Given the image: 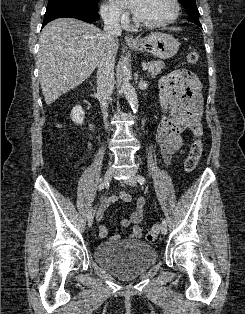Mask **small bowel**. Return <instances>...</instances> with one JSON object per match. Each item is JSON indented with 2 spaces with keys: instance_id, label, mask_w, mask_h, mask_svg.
I'll return each instance as SVG.
<instances>
[{
  "instance_id": "1",
  "label": "small bowel",
  "mask_w": 245,
  "mask_h": 314,
  "mask_svg": "<svg viewBox=\"0 0 245 314\" xmlns=\"http://www.w3.org/2000/svg\"><path fill=\"white\" fill-rule=\"evenodd\" d=\"M202 83L199 77L190 70L179 69L163 77L160 82L159 99L163 111V117L159 122L155 138L160 145L161 155L166 164H170L173 156L183 146L182 133L189 129L194 136L203 134L202 126ZM91 137V136H90ZM91 148V142H89ZM120 198L125 202H131V197L121 192ZM110 200H105L100 206L97 218H101L103 211L109 206ZM146 198L140 197L136 202V208L128 219H122L123 227L131 226L128 239L138 240L142 237V229L139 224L143 220V208ZM101 238L107 235L104 226H99ZM120 235L111 237L112 242L119 241Z\"/></svg>"
}]
</instances>
